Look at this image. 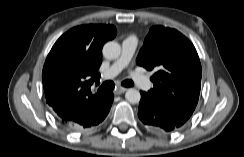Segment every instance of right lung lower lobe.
<instances>
[{"label":"right lung lower lobe","instance_id":"obj_1","mask_svg":"<svg viewBox=\"0 0 244 157\" xmlns=\"http://www.w3.org/2000/svg\"><path fill=\"white\" fill-rule=\"evenodd\" d=\"M113 99V93L106 94L105 100L99 106L89 110L82 117L71 121H63L60 119L59 121L69 129L75 131H83L93 128L105 119L110 111Z\"/></svg>","mask_w":244,"mask_h":157}]
</instances>
